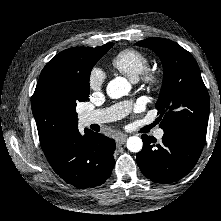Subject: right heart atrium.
I'll return each mask as SVG.
<instances>
[{
	"instance_id": "1",
	"label": "right heart atrium",
	"mask_w": 221,
	"mask_h": 221,
	"mask_svg": "<svg viewBox=\"0 0 221 221\" xmlns=\"http://www.w3.org/2000/svg\"><path fill=\"white\" fill-rule=\"evenodd\" d=\"M107 75L100 68H92L88 74V86L92 90H100L106 82Z\"/></svg>"
}]
</instances>
